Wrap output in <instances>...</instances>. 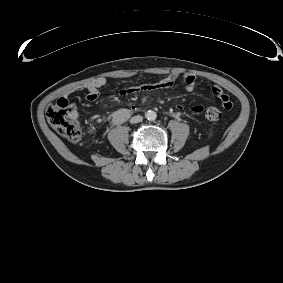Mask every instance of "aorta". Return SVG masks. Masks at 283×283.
<instances>
[{
	"instance_id": "762f6f07",
	"label": "aorta",
	"mask_w": 283,
	"mask_h": 283,
	"mask_svg": "<svg viewBox=\"0 0 283 283\" xmlns=\"http://www.w3.org/2000/svg\"><path fill=\"white\" fill-rule=\"evenodd\" d=\"M145 117L149 120V121H154L157 118V114L155 111L153 110H149L145 113Z\"/></svg>"
}]
</instances>
